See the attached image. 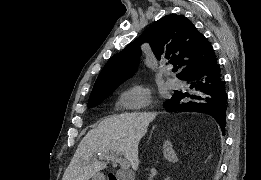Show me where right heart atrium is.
I'll return each mask as SVG.
<instances>
[{
	"label": "right heart atrium",
	"mask_w": 261,
	"mask_h": 180,
	"mask_svg": "<svg viewBox=\"0 0 261 180\" xmlns=\"http://www.w3.org/2000/svg\"><path fill=\"white\" fill-rule=\"evenodd\" d=\"M117 101L122 108H149L153 97L148 88L136 85L122 92Z\"/></svg>",
	"instance_id": "obj_1"
}]
</instances>
